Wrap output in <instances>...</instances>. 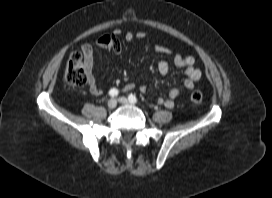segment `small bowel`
Returning <instances> with one entry per match:
<instances>
[{"instance_id":"c3829d8e","label":"small bowel","mask_w":272,"mask_h":198,"mask_svg":"<svg viewBox=\"0 0 272 198\" xmlns=\"http://www.w3.org/2000/svg\"><path fill=\"white\" fill-rule=\"evenodd\" d=\"M123 34L122 30L116 28L112 31V33L104 34L98 37L96 40L92 42L84 43L81 47L82 52L85 58V67L87 74V82L89 91L95 95L99 96L103 93L102 88L97 84L96 79L93 74V63H94V50L95 48L106 49L113 54L121 56L122 46L119 41V37ZM146 36L144 31L138 32H128L125 34L124 38L126 41H131L135 38L142 39ZM163 53L171 54L172 51L165 47H159ZM173 65L178 68H182L185 71V79L183 83L179 87H174L170 90L169 95L166 99L158 98L157 103L163 105L167 108H173L175 99L180 95L183 89H192L194 87L195 82L200 80L202 76V72L200 69L195 67V60L191 56H183L181 54H175L173 57ZM158 71L162 75H166L169 73L171 69V65L169 62L162 60L158 63ZM136 85L134 83H128L125 85L124 90L130 91L134 89ZM139 91L144 93L147 91V87L145 85L139 86Z\"/></svg>"}]
</instances>
